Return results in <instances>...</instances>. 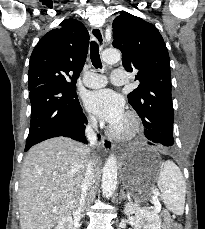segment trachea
Masks as SVG:
<instances>
[{"instance_id":"obj_1","label":"trachea","mask_w":205,"mask_h":229,"mask_svg":"<svg viewBox=\"0 0 205 229\" xmlns=\"http://www.w3.org/2000/svg\"><path fill=\"white\" fill-rule=\"evenodd\" d=\"M90 58L92 64L96 68H102V63L100 60V55H99V47L96 41H92L90 45Z\"/></svg>"}]
</instances>
